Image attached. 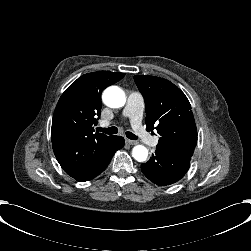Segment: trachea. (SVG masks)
<instances>
[{"label":"trachea","mask_w":251,"mask_h":251,"mask_svg":"<svg viewBox=\"0 0 251 251\" xmlns=\"http://www.w3.org/2000/svg\"><path fill=\"white\" fill-rule=\"evenodd\" d=\"M96 129H97V131H101V132L108 134V135H114V134L118 133V129L115 126L108 127V128L97 127ZM125 134H126L127 138H129L131 140L138 139V137L130 131H127Z\"/></svg>","instance_id":"trachea-1"}]
</instances>
